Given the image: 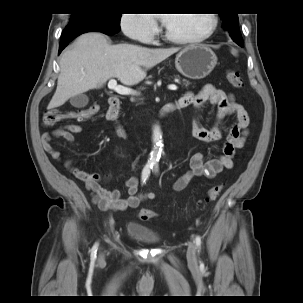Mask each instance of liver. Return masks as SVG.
<instances>
[{
	"instance_id": "obj_1",
	"label": "liver",
	"mask_w": 303,
	"mask_h": 303,
	"mask_svg": "<svg viewBox=\"0 0 303 303\" xmlns=\"http://www.w3.org/2000/svg\"><path fill=\"white\" fill-rule=\"evenodd\" d=\"M177 51V48L110 45L101 33L83 34L61 57L57 88L48 109L62 106L71 97L90 89L101 88L110 78H117L124 85H135L146 77L147 69Z\"/></svg>"
}]
</instances>
